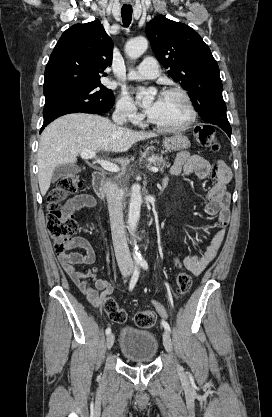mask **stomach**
<instances>
[{"label": "stomach", "instance_id": "stomach-1", "mask_svg": "<svg viewBox=\"0 0 272 417\" xmlns=\"http://www.w3.org/2000/svg\"><path fill=\"white\" fill-rule=\"evenodd\" d=\"M163 146L167 151H181L190 147V141L181 133H175L163 140Z\"/></svg>", "mask_w": 272, "mask_h": 417}]
</instances>
